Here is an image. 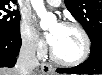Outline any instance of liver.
<instances>
[{
  "label": "liver",
  "mask_w": 102,
  "mask_h": 75,
  "mask_svg": "<svg viewBox=\"0 0 102 75\" xmlns=\"http://www.w3.org/2000/svg\"><path fill=\"white\" fill-rule=\"evenodd\" d=\"M0 75H20V74H19V71L15 67V68H2L0 70Z\"/></svg>",
  "instance_id": "liver-1"
}]
</instances>
